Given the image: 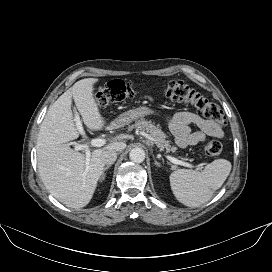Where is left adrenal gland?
Segmentation results:
<instances>
[{
	"instance_id": "left-adrenal-gland-1",
	"label": "left adrenal gland",
	"mask_w": 272,
	"mask_h": 272,
	"mask_svg": "<svg viewBox=\"0 0 272 272\" xmlns=\"http://www.w3.org/2000/svg\"><path fill=\"white\" fill-rule=\"evenodd\" d=\"M154 164L158 167H161L160 163L156 161V159L154 158Z\"/></svg>"
}]
</instances>
